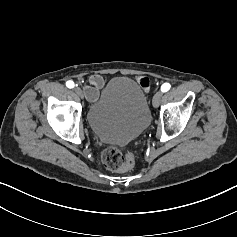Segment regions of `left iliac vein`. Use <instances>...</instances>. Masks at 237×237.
I'll list each match as a JSON object with an SVG mask.
<instances>
[{
    "instance_id": "left-iliac-vein-1",
    "label": "left iliac vein",
    "mask_w": 237,
    "mask_h": 237,
    "mask_svg": "<svg viewBox=\"0 0 237 237\" xmlns=\"http://www.w3.org/2000/svg\"><path fill=\"white\" fill-rule=\"evenodd\" d=\"M163 93L161 91H157L153 97V105L157 107L161 101Z\"/></svg>"
}]
</instances>
